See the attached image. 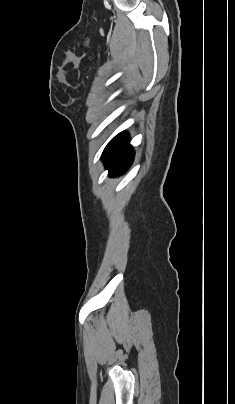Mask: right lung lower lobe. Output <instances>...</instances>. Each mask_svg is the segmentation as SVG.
<instances>
[{
  "instance_id": "98d812e1",
  "label": "right lung lower lobe",
  "mask_w": 235,
  "mask_h": 404,
  "mask_svg": "<svg viewBox=\"0 0 235 404\" xmlns=\"http://www.w3.org/2000/svg\"><path fill=\"white\" fill-rule=\"evenodd\" d=\"M134 157L132 147L129 145L128 134L122 132L113 138L106 146L102 159L110 176H117L127 170Z\"/></svg>"
}]
</instances>
